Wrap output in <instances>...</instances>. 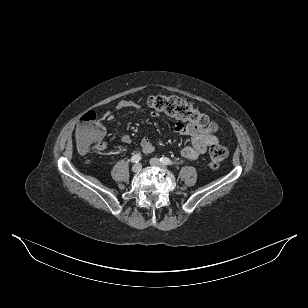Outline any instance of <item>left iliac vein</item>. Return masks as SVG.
I'll use <instances>...</instances> for the list:
<instances>
[{"label":"left iliac vein","instance_id":"obj_1","mask_svg":"<svg viewBox=\"0 0 308 308\" xmlns=\"http://www.w3.org/2000/svg\"><path fill=\"white\" fill-rule=\"evenodd\" d=\"M150 165L165 168L166 166L160 162L158 158H151L150 159Z\"/></svg>","mask_w":308,"mask_h":308}]
</instances>
